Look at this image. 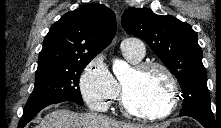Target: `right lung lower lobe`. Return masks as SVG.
Segmentation results:
<instances>
[{"instance_id":"right-lung-lower-lobe-1","label":"right lung lower lobe","mask_w":221,"mask_h":128,"mask_svg":"<svg viewBox=\"0 0 221 128\" xmlns=\"http://www.w3.org/2000/svg\"><path fill=\"white\" fill-rule=\"evenodd\" d=\"M60 102L63 101L46 102L24 110L23 115L19 121L18 128H23L27 122H29L33 117H35L46 106Z\"/></svg>"}]
</instances>
